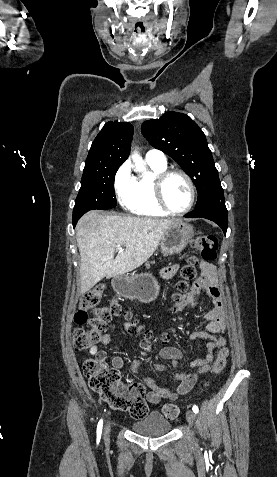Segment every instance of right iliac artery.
Wrapping results in <instances>:
<instances>
[{"label":"right iliac artery","instance_id":"right-iliac-artery-1","mask_svg":"<svg viewBox=\"0 0 277 477\" xmlns=\"http://www.w3.org/2000/svg\"><path fill=\"white\" fill-rule=\"evenodd\" d=\"M102 425H103V421L100 420L99 423H98V426H97V437H98V438L101 437Z\"/></svg>","mask_w":277,"mask_h":477}]
</instances>
